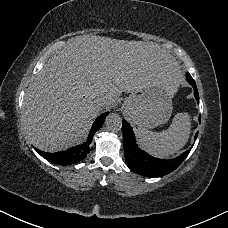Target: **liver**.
Wrapping results in <instances>:
<instances>
[{
  "label": "liver",
  "instance_id": "obj_1",
  "mask_svg": "<svg viewBox=\"0 0 228 228\" xmlns=\"http://www.w3.org/2000/svg\"><path fill=\"white\" fill-rule=\"evenodd\" d=\"M183 74L178 61L154 43L74 37L29 84L23 101L27 136L41 151L65 149L81 142L94 118L117 104L122 92L163 85L173 95Z\"/></svg>",
  "mask_w": 228,
  "mask_h": 228
}]
</instances>
